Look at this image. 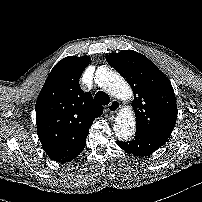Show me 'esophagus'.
<instances>
[{
    "label": "esophagus",
    "mask_w": 202,
    "mask_h": 202,
    "mask_svg": "<svg viewBox=\"0 0 202 202\" xmlns=\"http://www.w3.org/2000/svg\"><path fill=\"white\" fill-rule=\"evenodd\" d=\"M120 108H121L120 103L118 101L114 100L107 106V111L110 114H115L120 110Z\"/></svg>",
    "instance_id": "34e87169"
}]
</instances>
